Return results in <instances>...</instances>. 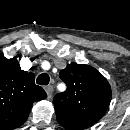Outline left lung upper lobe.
<instances>
[{
    "instance_id": "left-lung-upper-lobe-1",
    "label": "left lung upper lobe",
    "mask_w": 130,
    "mask_h": 130,
    "mask_svg": "<svg viewBox=\"0 0 130 130\" xmlns=\"http://www.w3.org/2000/svg\"><path fill=\"white\" fill-rule=\"evenodd\" d=\"M66 91L57 94L53 103L69 113L98 122L111 101V87L106 78L89 65L68 64L60 71Z\"/></svg>"
}]
</instances>
